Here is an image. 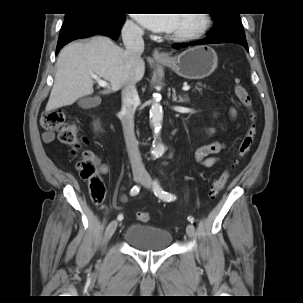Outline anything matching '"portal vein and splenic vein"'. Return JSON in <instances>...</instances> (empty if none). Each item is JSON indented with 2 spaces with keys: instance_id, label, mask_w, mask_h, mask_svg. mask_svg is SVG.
I'll return each instance as SVG.
<instances>
[{
  "instance_id": "obj_1",
  "label": "portal vein and splenic vein",
  "mask_w": 303,
  "mask_h": 303,
  "mask_svg": "<svg viewBox=\"0 0 303 303\" xmlns=\"http://www.w3.org/2000/svg\"><path fill=\"white\" fill-rule=\"evenodd\" d=\"M91 77L98 82L99 86H101V87H109V84L106 81L100 79L97 75L92 74ZM182 89L184 91H188V90H190V86H188V85L183 86Z\"/></svg>"
}]
</instances>
